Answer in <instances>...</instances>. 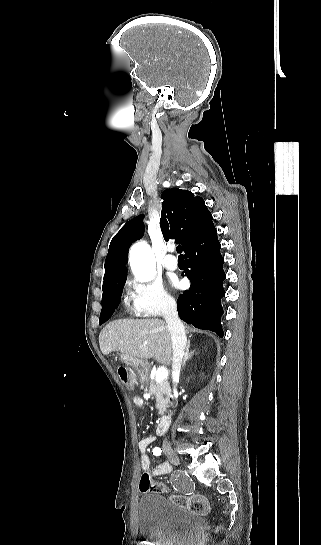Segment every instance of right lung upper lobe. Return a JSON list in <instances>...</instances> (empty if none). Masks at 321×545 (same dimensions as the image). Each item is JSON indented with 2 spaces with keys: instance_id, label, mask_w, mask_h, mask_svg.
Listing matches in <instances>:
<instances>
[{
  "instance_id": "1",
  "label": "right lung upper lobe",
  "mask_w": 321,
  "mask_h": 545,
  "mask_svg": "<svg viewBox=\"0 0 321 545\" xmlns=\"http://www.w3.org/2000/svg\"><path fill=\"white\" fill-rule=\"evenodd\" d=\"M163 199L160 227L164 239H175L183 247L199 238L213 225L212 215L201 197H195L187 190L167 189ZM143 215L128 221L112 238L105 260V274L102 290L110 289L126 279L128 249L144 234Z\"/></svg>"
}]
</instances>
